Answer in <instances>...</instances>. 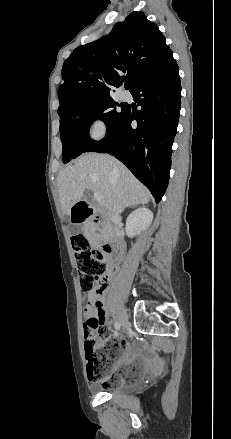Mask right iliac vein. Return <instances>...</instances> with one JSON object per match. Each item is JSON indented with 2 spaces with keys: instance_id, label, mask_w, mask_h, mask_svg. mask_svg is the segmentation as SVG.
Masks as SVG:
<instances>
[{
  "instance_id": "1",
  "label": "right iliac vein",
  "mask_w": 231,
  "mask_h": 439,
  "mask_svg": "<svg viewBox=\"0 0 231 439\" xmlns=\"http://www.w3.org/2000/svg\"><path fill=\"white\" fill-rule=\"evenodd\" d=\"M120 324H121L123 327H126V326H127V320H126V316H125V313H124V312L121 313V316H120Z\"/></svg>"
}]
</instances>
